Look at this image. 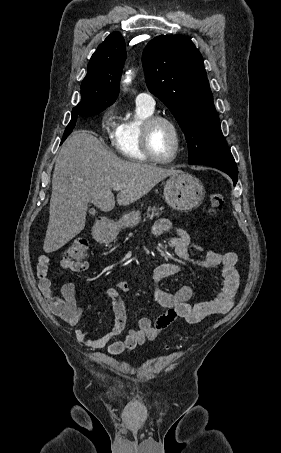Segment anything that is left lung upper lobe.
Wrapping results in <instances>:
<instances>
[{
	"instance_id": "obj_1",
	"label": "left lung upper lobe",
	"mask_w": 281,
	"mask_h": 453,
	"mask_svg": "<svg viewBox=\"0 0 281 453\" xmlns=\"http://www.w3.org/2000/svg\"><path fill=\"white\" fill-rule=\"evenodd\" d=\"M149 90L171 111L185 134L189 164L233 161L223 137L203 58L183 35H161L143 51Z\"/></svg>"
}]
</instances>
